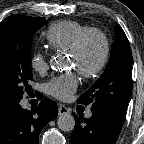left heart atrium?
Returning a JSON list of instances; mask_svg holds the SVG:
<instances>
[{
  "label": "left heart atrium",
  "instance_id": "left-heart-atrium-1",
  "mask_svg": "<svg viewBox=\"0 0 144 144\" xmlns=\"http://www.w3.org/2000/svg\"><path fill=\"white\" fill-rule=\"evenodd\" d=\"M78 78L75 74H66L55 77L47 85L48 94L59 99L67 100L76 91Z\"/></svg>",
  "mask_w": 144,
  "mask_h": 144
}]
</instances>
